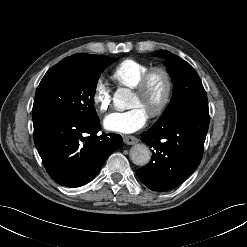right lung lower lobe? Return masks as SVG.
<instances>
[{"label":"right lung lower lobe","mask_w":247,"mask_h":247,"mask_svg":"<svg viewBox=\"0 0 247 247\" xmlns=\"http://www.w3.org/2000/svg\"><path fill=\"white\" fill-rule=\"evenodd\" d=\"M99 123L98 117L73 114L33 121L36 148L55 182L66 187L88 183L109 155L123 146L120 135L97 136Z\"/></svg>","instance_id":"98d812e1"}]
</instances>
